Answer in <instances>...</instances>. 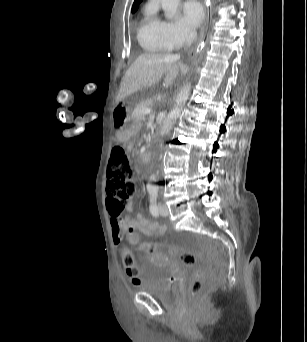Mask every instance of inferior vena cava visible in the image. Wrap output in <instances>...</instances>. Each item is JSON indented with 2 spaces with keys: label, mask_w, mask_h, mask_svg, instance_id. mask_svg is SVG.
<instances>
[{
  "label": "inferior vena cava",
  "mask_w": 307,
  "mask_h": 342,
  "mask_svg": "<svg viewBox=\"0 0 307 342\" xmlns=\"http://www.w3.org/2000/svg\"><path fill=\"white\" fill-rule=\"evenodd\" d=\"M195 38H196V32H188V36L186 38L187 48H190V46H191V44H193ZM187 48H185V50H187ZM183 74H187V70H185V72H183Z\"/></svg>",
  "instance_id": "obj_1"
}]
</instances>
